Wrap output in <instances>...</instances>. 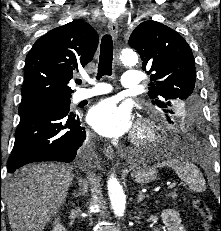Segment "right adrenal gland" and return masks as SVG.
<instances>
[{"mask_svg":"<svg viewBox=\"0 0 221 231\" xmlns=\"http://www.w3.org/2000/svg\"><path fill=\"white\" fill-rule=\"evenodd\" d=\"M77 182L79 185V189L77 192H74L73 195L75 197H80V196L85 195L88 192V184L81 177H77Z\"/></svg>","mask_w":221,"mask_h":231,"instance_id":"1","label":"right adrenal gland"}]
</instances>
